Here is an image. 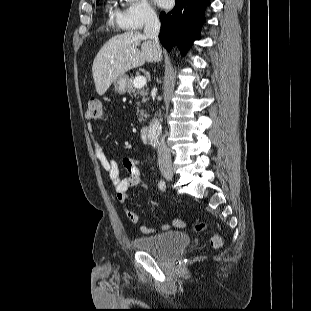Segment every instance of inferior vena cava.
I'll use <instances>...</instances> for the list:
<instances>
[{"label": "inferior vena cava", "mask_w": 311, "mask_h": 311, "mask_svg": "<svg viewBox=\"0 0 311 311\" xmlns=\"http://www.w3.org/2000/svg\"><path fill=\"white\" fill-rule=\"evenodd\" d=\"M160 31V21L154 12H149L145 18L144 34L152 40L159 54L158 61L161 60V50L159 45L158 34ZM158 163L159 166H171V154L165 143V137L160 138L158 144Z\"/></svg>", "instance_id": "602c4592"}]
</instances>
